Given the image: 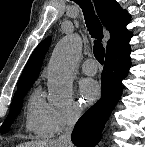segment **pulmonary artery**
I'll list each match as a JSON object with an SVG mask.
<instances>
[{"mask_svg": "<svg viewBox=\"0 0 145 147\" xmlns=\"http://www.w3.org/2000/svg\"><path fill=\"white\" fill-rule=\"evenodd\" d=\"M82 71L87 75H95L98 71V67L93 59H87L81 65Z\"/></svg>", "mask_w": 145, "mask_h": 147, "instance_id": "e3ab8cb5", "label": "pulmonary artery"}]
</instances>
